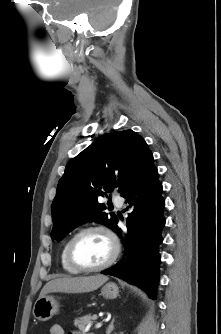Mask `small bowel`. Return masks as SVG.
<instances>
[{"mask_svg": "<svg viewBox=\"0 0 221 334\" xmlns=\"http://www.w3.org/2000/svg\"><path fill=\"white\" fill-rule=\"evenodd\" d=\"M49 334H65V332L61 325L54 324L50 327Z\"/></svg>", "mask_w": 221, "mask_h": 334, "instance_id": "obj_1", "label": "small bowel"}]
</instances>
